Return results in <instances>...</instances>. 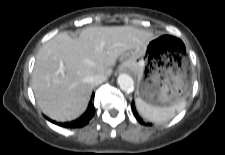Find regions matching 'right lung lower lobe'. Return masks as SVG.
<instances>
[{"mask_svg":"<svg viewBox=\"0 0 225 155\" xmlns=\"http://www.w3.org/2000/svg\"><path fill=\"white\" fill-rule=\"evenodd\" d=\"M94 113H95V108L91 100L87 111L77 120H74L68 123H56L55 121H52L50 119L48 120L63 127L78 128V127H83L84 125H86L89 122V120L94 116Z\"/></svg>","mask_w":225,"mask_h":155,"instance_id":"right-lung-lower-lobe-1","label":"right lung lower lobe"}]
</instances>
